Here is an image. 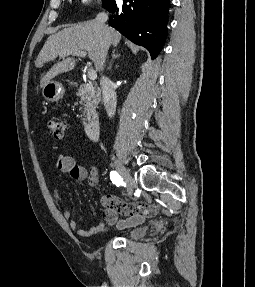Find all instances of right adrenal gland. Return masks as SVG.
<instances>
[{"mask_svg": "<svg viewBox=\"0 0 255 287\" xmlns=\"http://www.w3.org/2000/svg\"><path fill=\"white\" fill-rule=\"evenodd\" d=\"M116 50H113L112 52V60H116V58H119L120 54H115Z\"/></svg>", "mask_w": 255, "mask_h": 287, "instance_id": "right-adrenal-gland-1", "label": "right adrenal gland"}]
</instances>
